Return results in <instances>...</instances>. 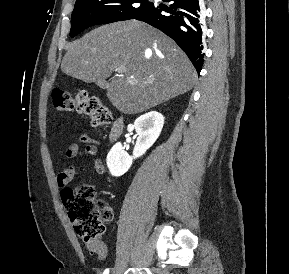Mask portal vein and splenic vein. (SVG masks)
Masks as SVG:
<instances>
[{
  "label": "portal vein and splenic vein",
  "instance_id": "obj_1",
  "mask_svg": "<svg viewBox=\"0 0 289 274\" xmlns=\"http://www.w3.org/2000/svg\"><path fill=\"white\" fill-rule=\"evenodd\" d=\"M124 67L123 66H118L116 67L115 71L118 73V74H122L124 72Z\"/></svg>",
  "mask_w": 289,
  "mask_h": 274
}]
</instances>
